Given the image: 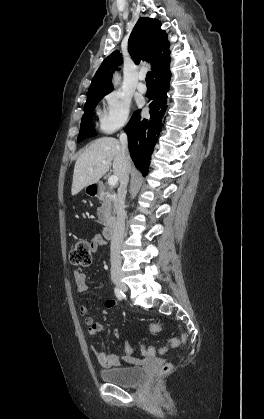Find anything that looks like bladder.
<instances>
[{
  "label": "bladder",
  "instance_id": "obj_1",
  "mask_svg": "<svg viewBox=\"0 0 264 419\" xmlns=\"http://www.w3.org/2000/svg\"><path fill=\"white\" fill-rule=\"evenodd\" d=\"M144 375L145 369L141 365L120 366L100 371V377L103 381L122 387L138 384Z\"/></svg>",
  "mask_w": 264,
  "mask_h": 419
}]
</instances>
